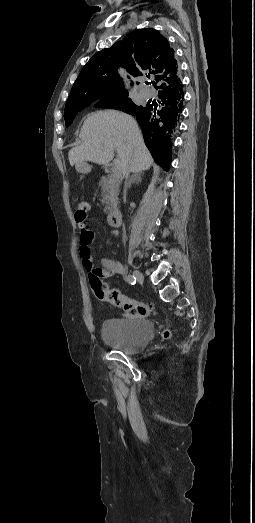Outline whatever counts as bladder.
Wrapping results in <instances>:
<instances>
[{
  "instance_id": "bladder-1",
  "label": "bladder",
  "mask_w": 255,
  "mask_h": 523,
  "mask_svg": "<svg viewBox=\"0 0 255 523\" xmlns=\"http://www.w3.org/2000/svg\"><path fill=\"white\" fill-rule=\"evenodd\" d=\"M154 326L145 318H105L102 323V338L123 353H138L151 339Z\"/></svg>"
}]
</instances>
